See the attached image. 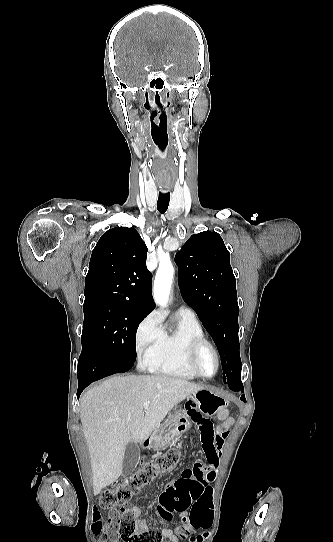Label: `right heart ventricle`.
I'll use <instances>...</instances> for the list:
<instances>
[{"instance_id":"right-heart-ventricle-1","label":"right heart ventricle","mask_w":333,"mask_h":542,"mask_svg":"<svg viewBox=\"0 0 333 542\" xmlns=\"http://www.w3.org/2000/svg\"><path fill=\"white\" fill-rule=\"evenodd\" d=\"M161 339L139 350V364L143 370L174 378L191 380L196 376L188 368L186 356L189 345L204 338L198 320L176 313V322L166 329L160 321Z\"/></svg>"}]
</instances>
